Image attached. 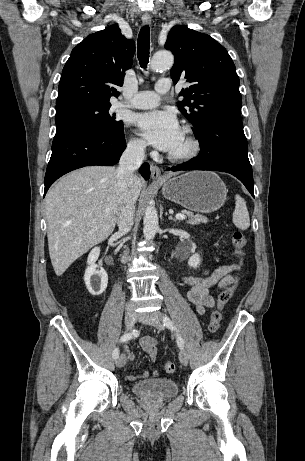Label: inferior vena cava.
<instances>
[{
    "label": "inferior vena cava",
    "instance_id": "1",
    "mask_svg": "<svg viewBox=\"0 0 305 461\" xmlns=\"http://www.w3.org/2000/svg\"><path fill=\"white\" fill-rule=\"evenodd\" d=\"M146 145L144 143H129L123 152L117 169L119 201L117 208V225L119 231H130L135 213L136 199L132 193L134 172L143 163Z\"/></svg>",
    "mask_w": 305,
    "mask_h": 461
}]
</instances>
